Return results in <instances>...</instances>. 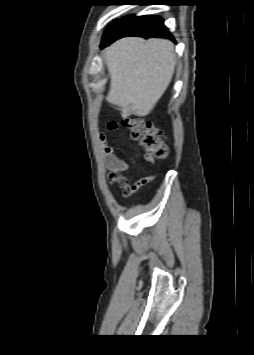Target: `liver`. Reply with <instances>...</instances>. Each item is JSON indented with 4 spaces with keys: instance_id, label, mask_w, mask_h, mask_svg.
I'll return each instance as SVG.
<instances>
[{
    "instance_id": "obj_1",
    "label": "liver",
    "mask_w": 254,
    "mask_h": 355,
    "mask_svg": "<svg viewBox=\"0 0 254 355\" xmlns=\"http://www.w3.org/2000/svg\"><path fill=\"white\" fill-rule=\"evenodd\" d=\"M104 61L110 75L106 99L125 118L151 112L172 80L176 56L168 40L128 37L109 46Z\"/></svg>"
}]
</instances>
